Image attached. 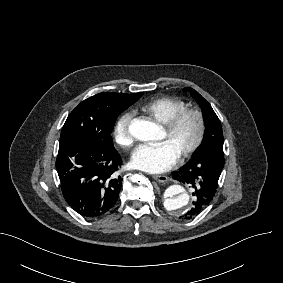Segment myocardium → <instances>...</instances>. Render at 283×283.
<instances>
[{
    "label": "myocardium",
    "mask_w": 283,
    "mask_h": 283,
    "mask_svg": "<svg viewBox=\"0 0 283 283\" xmlns=\"http://www.w3.org/2000/svg\"><path fill=\"white\" fill-rule=\"evenodd\" d=\"M188 116L195 117V119L197 120L198 129H197V135L194 141L192 142V144L181 153L180 159L182 160H185L194 153H196L204 142L206 123L203 113L196 108H186L174 114L172 117H170L166 122V124L164 125L165 130L169 134H171L178 128L181 122Z\"/></svg>",
    "instance_id": "obj_1"
}]
</instances>
